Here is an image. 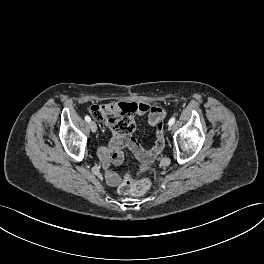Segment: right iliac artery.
Wrapping results in <instances>:
<instances>
[{
	"label": "right iliac artery",
	"mask_w": 264,
	"mask_h": 264,
	"mask_svg": "<svg viewBox=\"0 0 264 264\" xmlns=\"http://www.w3.org/2000/svg\"><path fill=\"white\" fill-rule=\"evenodd\" d=\"M85 120H86L87 122H90V121H91V118H90L88 115H86V116H85Z\"/></svg>",
	"instance_id": "right-iliac-artery-1"
}]
</instances>
